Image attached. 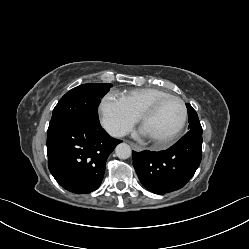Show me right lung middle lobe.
Returning a JSON list of instances; mask_svg holds the SVG:
<instances>
[{"instance_id": "dd1d6c3e", "label": "right lung middle lobe", "mask_w": 249, "mask_h": 249, "mask_svg": "<svg viewBox=\"0 0 249 249\" xmlns=\"http://www.w3.org/2000/svg\"><path fill=\"white\" fill-rule=\"evenodd\" d=\"M111 84H83L68 91L55 106L48 135L76 124H99L98 106Z\"/></svg>"}]
</instances>
